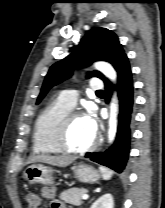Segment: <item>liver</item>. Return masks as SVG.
Segmentation results:
<instances>
[{
    "mask_svg": "<svg viewBox=\"0 0 165 208\" xmlns=\"http://www.w3.org/2000/svg\"><path fill=\"white\" fill-rule=\"evenodd\" d=\"M76 158L68 156L37 155L30 159L29 163L42 162L53 166L66 167Z\"/></svg>",
    "mask_w": 165,
    "mask_h": 208,
    "instance_id": "1",
    "label": "liver"
}]
</instances>
